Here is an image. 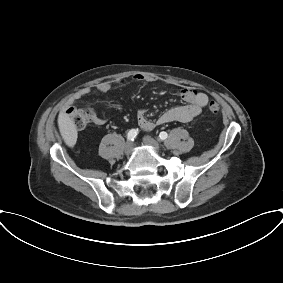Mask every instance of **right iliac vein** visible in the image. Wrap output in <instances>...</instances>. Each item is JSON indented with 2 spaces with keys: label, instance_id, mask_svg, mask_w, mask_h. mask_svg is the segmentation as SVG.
<instances>
[{
  "label": "right iliac vein",
  "instance_id": "right-iliac-vein-1",
  "mask_svg": "<svg viewBox=\"0 0 283 283\" xmlns=\"http://www.w3.org/2000/svg\"><path fill=\"white\" fill-rule=\"evenodd\" d=\"M133 149V144L132 142H128L125 147H124V152L126 155H130Z\"/></svg>",
  "mask_w": 283,
  "mask_h": 283
}]
</instances>
